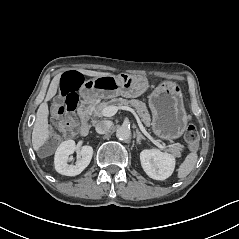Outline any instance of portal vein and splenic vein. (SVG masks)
<instances>
[{"label": "portal vein and splenic vein", "instance_id": "1", "mask_svg": "<svg viewBox=\"0 0 239 239\" xmlns=\"http://www.w3.org/2000/svg\"><path fill=\"white\" fill-rule=\"evenodd\" d=\"M118 109H122V110H128L130 112H132V116L134 117V119H137V123L139 125V128L140 130L152 141L154 142V145H156L157 147H160L161 149H165V146L159 144L157 141H155L151 136L150 134L146 131L145 127L143 126L140 118L137 116L138 113L133 111V109H131L130 107L128 106H108V107H105L103 110H102V115L105 116V117H111L113 115H115L118 111Z\"/></svg>", "mask_w": 239, "mask_h": 239}]
</instances>
